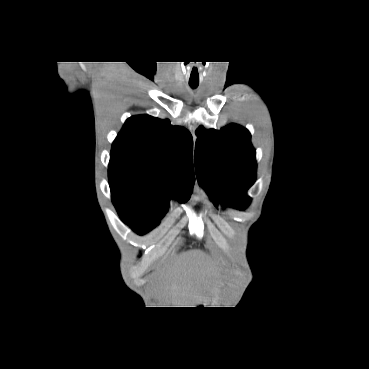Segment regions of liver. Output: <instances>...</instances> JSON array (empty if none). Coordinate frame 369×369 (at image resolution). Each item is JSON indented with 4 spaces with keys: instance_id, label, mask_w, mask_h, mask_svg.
<instances>
[{
    "instance_id": "liver-1",
    "label": "liver",
    "mask_w": 369,
    "mask_h": 369,
    "mask_svg": "<svg viewBox=\"0 0 369 369\" xmlns=\"http://www.w3.org/2000/svg\"><path fill=\"white\" fill-rule=\"evenodd\" d=\"M211 260L202 252L192 251L182 255L161 276L160 286L164 290L162 298L167 301L185 294L194 285L203 282L211 271Z\"/></svg>"
}]
</instances>
